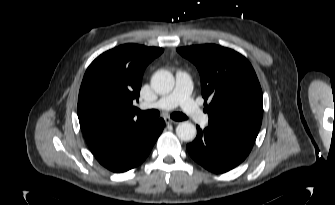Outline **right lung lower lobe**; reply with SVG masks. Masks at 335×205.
I'll return each mask as SVG.
<instances>
[{
    "label": "right lung lower lobe",
    "instance_id": "1",
    "mask_svg": "<svg viewBox=\"0 0 335 205\" xmlns=\"http://www.w3.org/2000/svg\"><path fill=\"white\" fill-rule=\"evenodd\" d=\"M164 120L156 119L155 128L134 145L111 153L96 154L95 158L113 172H125L138 166L149 155L164 128Z\"/></svg>",
    "mask_w": 335,
    "mask_h": 205
}]
</instances>
